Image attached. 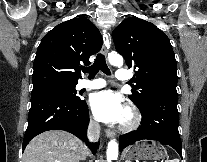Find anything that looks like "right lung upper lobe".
I'll return each mask as SVG.
<instances>
[{"instance_id":"1","label":"right lung upper lobe","mask_w":207,"mask_h":162,"mask_svg":"<svg viewBox=\"0 0 207 162\" xmlns=\"http://www.w3.org/2000/svg\"><path fill=\"white\" fill-rule=\"evenodd\" d=\"M102 47V36L87 18L65 21L41 40L33 66V88L51 84H77L81 64Z\"/></svg>"}]
</instances>
